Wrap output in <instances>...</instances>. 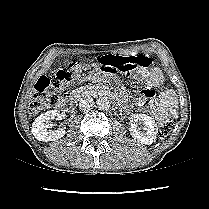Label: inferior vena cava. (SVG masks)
I'll return each instance as SVG.
<instances>
[{"instance_id": "obj_1", "label": "inferior vena cava", "mask_w": 209, "mask_h": 209, "mask_svg": "<svg viewBox=\"0 0 209 209\" xmlns=\"http://www.w3.org/2000/svg\"><path fill=\"white\" fill-rule=\"evenodd\" d=\"M94 105L91 97H83L79 100V107L83 110H90Z\"/></svg>"}]
</instances>
